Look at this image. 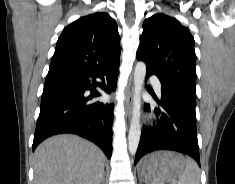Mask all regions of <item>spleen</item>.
I'll list each match as a JSON object with an SVG mask.
<instances>
[{"label": "spleen", "mask_w": 235, "mask_h": 184, "mask_svg": "<svg viewBox=\"0 0 235 184\" xmlns=\"http://www.w3.org/2000/svg\"><path fill=\"white\" fill-rule=\"evenodd\" d=\"M185 162L186 168L183 174L179 176L178 184H200L198 164L192 158H187Z\"/></svg>", "instance_id": "spleen-1"}]
</instances>
